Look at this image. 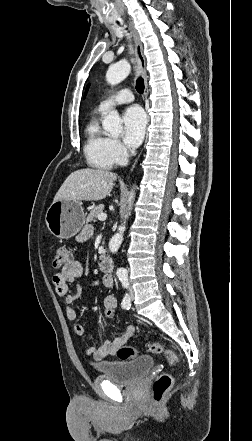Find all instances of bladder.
<instances>
[{"instance_id":"31cf9c89","label":"bladder","mask_w":252,"mask_h":441,"mask_svg":"<svg viewBox=\"0 0 252 441\" xmlns=\"http://www.w3.org/2000/svg\"><path fill=\"white\" fill-rule=\"evenodd\" d=\"M154 360L150 355H141L132 360H111L96 364V369L110 380L121 384H134L152 369Z\"/></svg>"}]
</instances>
